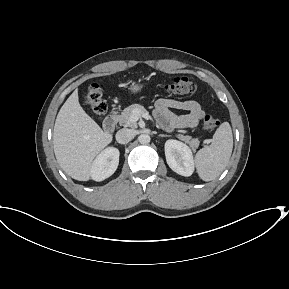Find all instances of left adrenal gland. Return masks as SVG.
I'll return each instance as SVG.
<instances>
[{
    "instance_id": "a2214340",
    "label": "left adrenal gland",
    "mask_w": 289,
    "mask_h": 289,
    "mask_svg": "<svg viewBox=\"0 0 289 289\" xmlns=\"http://www.w3.org/2000/svg\"><path fill=\"white\" fill-rule=\"evenodd\" d=\"M159 137H170V135H166V134H159Z\"/></svg>"
}]
</instances>
